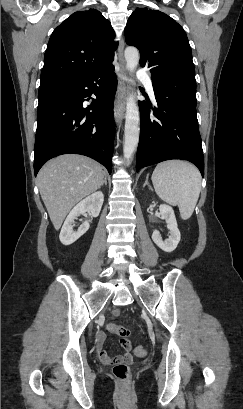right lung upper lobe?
I'll list each match as a JSON object with an SVG mask.
<instances>
[{"mask_svg": "<svg viewBox=\"0 0 243 409\" xmlns=\"http://www.w3.org/2000/svg\"><path fill=\"white\" fill-rule=\"evenodd\" d=\"M115 32L95 9L78 11L52 33L45 51L41 80L82 79L114 60Z\"/></svg>", "mask_w": 243, "mask_h": 409, "instance_id": "right-lung-upper-lobe-1", "label": "right lung upper lobe"}]
</instances>
